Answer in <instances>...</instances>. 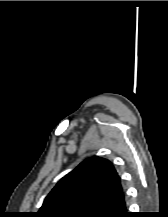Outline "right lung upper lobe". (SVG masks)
<instances>
[{
	"label": "right lung upper lobe",
	"mask_w": 168,
	"mask_h": 217,
	"mask_svg": "<svg viewBox=\"0 0 168 217\" xmlns=\"http://www.w3.org/2000/svg\"><path fill=\"white\" fill-rule=\"evenodd\" d=\"M125 205L120 178L103 158L86 159L45 198L36 217H107Z\"/></svg>",
	"instance_id": "cb5924a9"
}]
</instances>
